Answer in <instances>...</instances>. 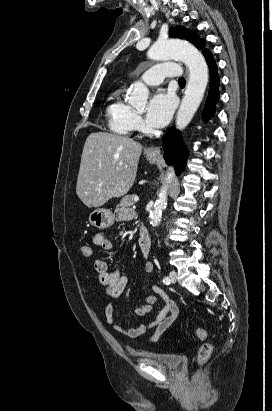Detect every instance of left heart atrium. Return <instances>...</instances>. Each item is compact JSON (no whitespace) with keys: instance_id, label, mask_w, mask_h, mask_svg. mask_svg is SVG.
I'll return each instance as SVG.
<instances>
[{"instance_id":"1","label":"left heart atrium","mask_w":272,"mask_h":411,"mask_svg":"<svg viewBox=\"0 0 272 411\" xmlns=\"http://www.w3.org/2000/svg\"><path fill=\"white\" fill-rule=\"evenodd\" d=\"M175 101L172 94L159 91L149 101L146 122L155 128L165 126L174 111Z\"/></svg>"}]
</instances>
